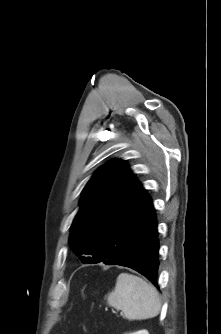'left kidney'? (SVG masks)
<instances>
[{
    "mask_svg": "<svg viewBox=\"0 0 221 334\" xmlns=\"http://www.w3.org/2000/svg\"><path fill=\"white\" fill-rule=\"evenodd\" d=\"M129 334H149L147 330H141V331H137L134 333H129Z\"/></svg>",
    "mask_w": 221,
    "mask_h": 334,
    "instance_id": "left-kidney-1",
    "label": "left kidney"
}]
</instances>
